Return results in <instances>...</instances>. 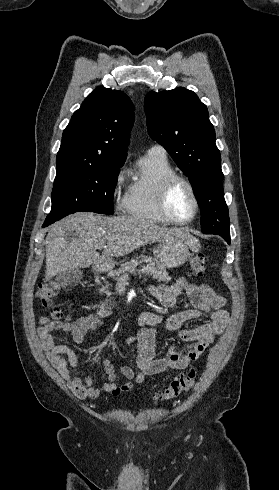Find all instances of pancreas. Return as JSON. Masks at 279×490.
Wrapping results in <instances>:
<instances>
[{"mask_svg": "<svg viewBox=\"0 0 279 490\" xmlns=\"http://www.w3.org/2000/svg\"><path fill=\"white\" fill-rule=\"evenodd\" d=\"M142 262L140 260H131V262H125V264H121L119 270L115 272L116 276H126L128 278V274H134L136 272L138 266H140ZM140 276L145 274V276H152L153 280H158V282H170L172 278H170L168 272L165 270V266L162 264H158V262H148L147 266H142L141 272H139ZM106 286H102L99 292L100 294H107V296H111L112 292H109V288L111 284L105 282Z\"/></svg>", "mask_w": 279, "mask_h": 490, "instance_id": "obj_1", "label": "pancreas"}]
</instances>
